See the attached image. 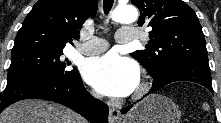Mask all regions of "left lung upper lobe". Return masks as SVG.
Wrapping results in <instances>:
<instances>
[{"label": "left lung upper lobe", "mask_w": 221, "mask_h": 123, "mask_svg": "<svg viewBox=\"0 0 221 123\" xmlns=\"http://www.w3.org/2000/svg\"><path fill=\"white\" fill-rule=\"evenodd\" d=\"M140 10L139 26L152 27L147 50L130 55L156 78L171 66L194 63L209 67L204 34L192 8L182 0H132Z\"/></svg>", "instance_id": "5c2ea615"}]
</instances>
